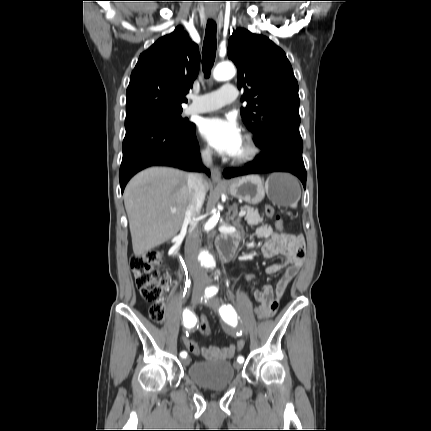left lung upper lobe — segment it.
<instances>
[{
    "label": "left lung upper lobe",
    "instance_id": "5c2ea615",
    "mask_svg": "<svg viewBox=\"0 0 431 431\" xmlns=\"http://www.w3.org/2000/svg\"><path fill=\"white\" fill-rule=\"evenodd\" d=\"M228 57L243 88L241 115L258 146L277 133L300 136L298 83L284 51L269 38L246 29L233 32Z\"/></svg>",
    "mask_w": 431,
    "mask_h": 431
}]
</instances>
